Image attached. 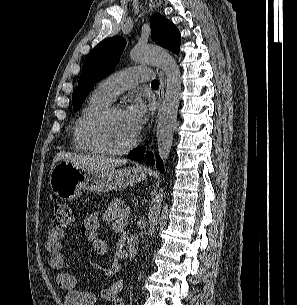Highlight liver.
Returning <instances> with one entry per match:
<instances>
[{"label":"liver","instance_id":"1","mask_svg":"<svg viewBox=\"0 0 297 305\" xmlns=\"http://www.w3.org/2000/svg\"><path fill=\"white\" fill-rule=\"evenodd\" d=\"M59 161H67L80 166L98 167L105 169H115L127 163V160L125 159L60 152L53 159L51 171Z\"/></svg>","mask_w":297,"mask_h":305}]
</instances>
